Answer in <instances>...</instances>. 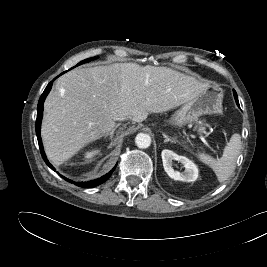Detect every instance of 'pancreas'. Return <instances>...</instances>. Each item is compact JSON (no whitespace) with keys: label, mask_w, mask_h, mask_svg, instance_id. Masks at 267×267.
<instances>
[{"label":"pancreas","mask_w":267,"mask_h":267,"mask_svg":"<svg viewBox=\"0 0 267 267\" xmlns=\"http://www.w3.org/2000/svg\"><path fill=\"white\" fill-rule=\"evenodd\" d=\"M197 128H198V131H199V132H205V127H203L202 124H199V125L197 126Z\"/></svg>","instance_id":"cf45deb5"}]
</instances>
